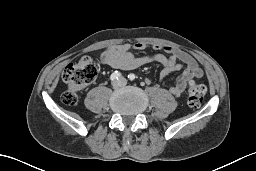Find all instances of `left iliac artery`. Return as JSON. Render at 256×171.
<instances>
[{"mask_svg": "<svg viewBox=\"0 0 256 171\" xmlns=\"http://www.w3.org/2000/svg\"><path fill=\"white\" fill-rule=\"evenodd\" d=\"M128 79L131 80V81H133V80L135 79V75H134L133 73H130V74L128 75Z\"/></svg>", "mask_w": 256, "mask_h": 171, "instance_id": "1", "label": "left iliac artery"}]
</instances>
